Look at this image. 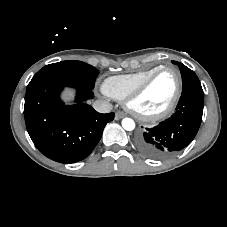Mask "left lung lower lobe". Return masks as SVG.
Wrapping results in <instances>:
<instances>
[{
	"label": "left lung lower lobe",
	"mask_w": 227,
	"mask_h": 227,
	"mask_svg": "<svg viewBox=\"0 0 227 227\" xmlns=\"http://www.w3.org/2000/svg\"><path fill=\"white\" fill-rule=\"evenodd\" d=\"M203 99V92H182L176 112L170 118L138 134V150L147 157L163 159L188 146L201 124Z\"/></svg>",
	"instance_id": "obj_1"
}]
</instances>
